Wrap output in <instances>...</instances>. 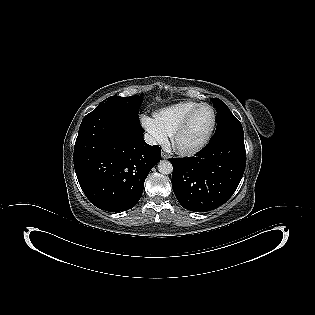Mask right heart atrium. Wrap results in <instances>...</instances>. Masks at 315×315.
Instances as JSON below:
<instances>
[{
    "label": "right heart atrium",
    "mask_w": 315,
    "mask_h": 315,
    "mask_svg": "<svg viewBox=\"0 0 315 315\" xmlns=\"http://www.w3.org/2000/svg\"><path fill=\"white\" fill-rule=\"evenodd\" d=\"M141 124L149 134L151 141L159 145H166L168 142V134L162 129L154 117L143 115Z\"/></svg>",
    "instance_id": "1"
}]
</instances>
